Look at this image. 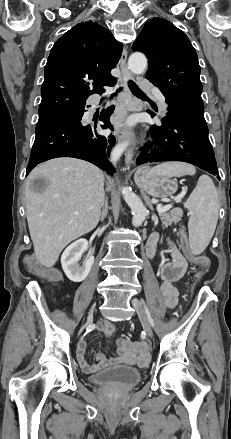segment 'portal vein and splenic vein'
Here are the masks:
<instances>
[{
  "instance_id": "18ae733b",
  "label": "portal vein and splenic vein",
  "mask_w": 231,
  "mask_h": 439,
  "mask_svg": "<svg viewBox=\"0 0 231 439\" xmlns=\"http://www.w3.org/2000/svg\"><path fill=\"white\" fill-rule=\"evenodd\" d=\"M184 195H185V192H182V193L178 196V198H182V197H184ZM171 207H172L171 205H166V206L158 205V206H157V212H158L159 214L164 213V212L168 211ZM75 214H78V212H75Z\"/></svg>"
}]
</instances>
